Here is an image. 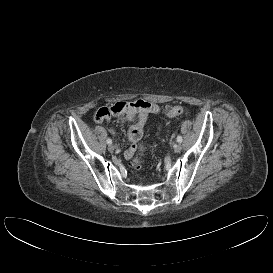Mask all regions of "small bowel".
<instances>
[{
  "label": "small bowel",
  "mask_w": 273,
  "mask_h": 273,
  "mask_svg": "<svg viewBox=\"0 0 273 273\" xmlns=\"http://www.w3.org/2000/svg\"><path fill=\"white\" fill-rule=\"evenodd\" d=\"M158 112L159 107L156 104L145 100L132 102L120 101L98 109L94 120L100 123L109 120L111 117H115L132 122L128 131L130 146L124 153L126 159H131L137 149V142L143 135L149 116Z\"/></svg>",
  "instance_id": "c3829d8e"
}]
</instances>
